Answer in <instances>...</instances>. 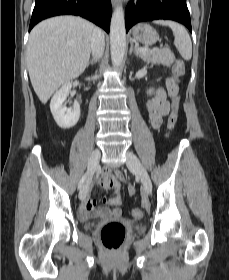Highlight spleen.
Returning a JSON list of instances; mask_svg holds the SVG:
<instances>
[{
	"label": "spleen",
	"instance_id": "3e777b00",
	"mask_svg": "<svg viewBox=\"0 0 229 280\" xmlns=\"http://www.w3.org/2000/svg\"><path fill=\"white\" fill-rule=\"evenodd\" d=\"M155 24L169 26L174 35V44L179 51L180 55L185 60H190L192 57V42L186 29L171 20H156Z\"/></svg>",
	"mask_w": 229,
	"mask_h": 280
}]
</instances>
